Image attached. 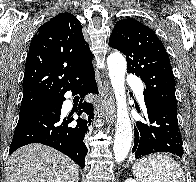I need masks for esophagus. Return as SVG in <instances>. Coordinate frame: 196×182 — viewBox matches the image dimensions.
Here are the masks:
<instances>
[{"label":"esophagus","instance_id":"obj_1","mask_svg":"<svg viewBox=\"0 0 196 182\" xmlns=\"http://www.w3.org/2000/svg\"><path fill=\"white\" fill-rule=\"evenodd\" d=\"M103 104L105 107V117L106 119L113 120L115 117V105H114V98L109 86L108 82L104 83L103 87Z\"/></svg>","mask_w":196,"mask_h":182}]
</instances>
